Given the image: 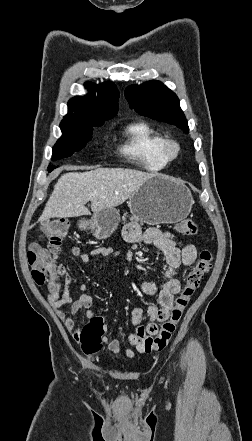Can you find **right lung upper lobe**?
Returning a JSON list of instances; mask_svg holds the SVG:
<instances>
[{"instance_id":"obj_1","label":"right lung upper lobe","mask_w":252,"mask_h":441,"mask_svg":"<svg viewBox=\"0 0 252 441\" xmlns=\"http://www.w3.org/2000/svg\"><path fill=\"white\" fill-rule=\"evenodd\" d=\"M85 86L89 94L72 98L68 102V114L64 119L101 122L112 118L118 111L119 94L116 86L110 82L101 85L86 82Z\"/></svg>"}]
</instances>
